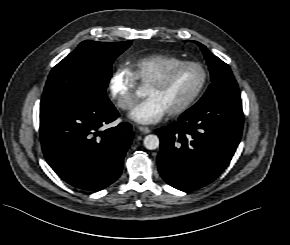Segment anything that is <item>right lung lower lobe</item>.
Here are the masks:
<instances>
[{
    "label": "right lung lower lobe",
    "instance_id": "1",
    "mask_svg": "<svg viewBox=\"0 0 290 245\" xmlns=\"http://www.w3.org/2000/svg\"><path fill=\"white\" fill-rule=\"evenodd\" d=\"M118 116L111 102L40 112L42 150L56 174L84 190L98 191L112 184L122 172L133 137L127 122L101 131Z\"/></svg>",
    "mask_w": 290,
    "mask_h": 245
}]
</instances>
